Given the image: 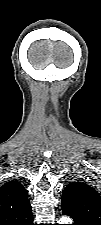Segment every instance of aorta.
I'll return each mask as SVG.
<instances>
[{"mask_svg":"<svg viewBox=\"0 0 101 225\" xmlns=\"http://www.w3.org/2000/svg\"><path fill=\"white\" fill-rule=\"evenodd\" d=\"M71 219L69 217L63 216L58 220V224H70Z\"/></svg>","mask_w":101,"mask_h":225,"instance_id":"1","label":"aorta"}]
</instances>
